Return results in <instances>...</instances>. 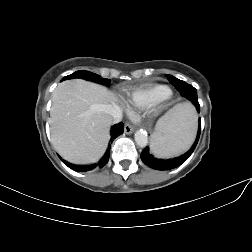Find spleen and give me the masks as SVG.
<instances>
[{
	"label": "spleen",
	"instance_id": "1",
	"mask_svg": "<svg viewBox=\"0 0 252 252\" xmlns=\"http://www.w3.org/2000/svg\"><path fill=\"white\" fill-rule=\"evenodd\" d=\"M197 118L189 104H178L157 124L150 147L156 157L170 158L186 151L196 135Z\"/></svg>",
	"mask_w": 252,
	"mask_h": 252
}]
</instances>
